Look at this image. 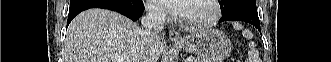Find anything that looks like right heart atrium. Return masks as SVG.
Here are the masks:
<instances>
[{
	"mask_svg": "<svg viewBox=\"0 0 331 62\" xmlns=\"http://www.w3.org/2000/svg\"><path fill=\"white\" fill-rule=\"evenodd\" d=\"M148 8H149L150 14L153 18H155V19L166 18V13L160 6H157L154 4H149Z\"/></svg>",
	"mask_w": 331,
	"mask_h": 62,
	"instance_id": "d8ad5b80",
	"label": "right heart atrium"
}]
</instances>
